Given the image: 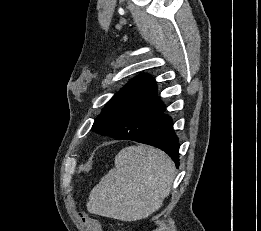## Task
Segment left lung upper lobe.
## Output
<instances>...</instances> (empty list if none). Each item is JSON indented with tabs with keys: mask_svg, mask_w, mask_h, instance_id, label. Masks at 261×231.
<instances>
[{
	"mask_svg": "<svg viewBox=\"0 0 261 231\" xmlns=\"http://www.w3.org/2000/svg\"><path fill=\"white\" fill-rule=\"evenodd\" d=\"M165 110L151 76L140 75L114 95L96 118L92 130L119 138H139Z\"/></svg>",
	"mask_w": 261,
	"mask_h": 231,
	"instance_id": "1",
	"label": "left lung upper lobe"
}]
</instances>
